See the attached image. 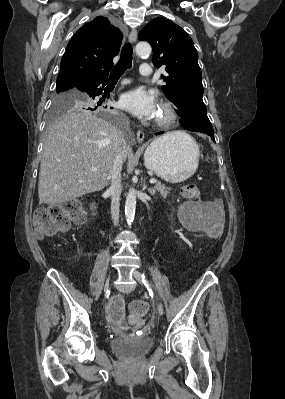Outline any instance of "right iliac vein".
Listing matches in <instances>:
<instances>
[{"label": "right iliac vein", "instance_id": "1", "mask_svg": "<svg viewBox=\"0 0 285 399\" xmlns=\"http://www.w3.org/2000/svg\"><path fill=\"white\" fill-rule=\"evenodd\" d=\"M109 287H110V285H109V277H108L104 284V291H107L109 289Z\"/></svg>", "mask_w": 285, "mask_h": 399}]
</instances>
